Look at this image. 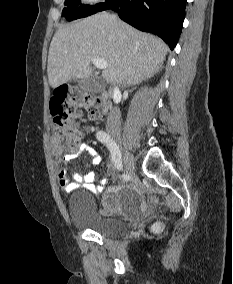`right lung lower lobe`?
Instances as JSON below:
<instances>
[{
	"label": "right lung lower lobe",
	"mask_w": 233,
	"mask_h": 284,
	"mask_svg": "<svg viewBox=\"0 0 233 284\" xmlns=\"http://www.w3.org/2000/svg\"><path fill=\"white\" fill-rule=\"evenodd\" d=\"M186 0H106L97 10L112 9L135 28L152 32L174 49L185 17Z\"/></svg>",
	"instance_id": "right-lung-lower-lobe-1"
}]
</instances>
